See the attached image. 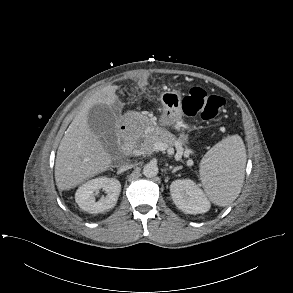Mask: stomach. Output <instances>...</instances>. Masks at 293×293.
<instances>
[{"label": "stomach", "instance_id": "1", "mask_svg": "<svg viewBox=\"0 0 293 293\" xmlns=\"http://www.w3.org/2000/svg\"><path fill=\"white\" fill-rule=\"evenodd\" d=\"M160 124L170 126L182 121V99L179 91H165L160 95Z\"/></svg>", "mask_w": 293, "mask_h": 293}]
</instances>
